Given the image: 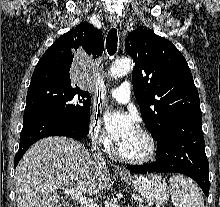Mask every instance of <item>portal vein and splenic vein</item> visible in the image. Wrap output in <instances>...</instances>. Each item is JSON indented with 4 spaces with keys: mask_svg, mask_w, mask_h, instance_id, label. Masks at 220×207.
<instances>
[{
    "mask_svg": "<svg viewBox=\"0 0 220 207\" xmlns=\"http://www.w3.org/2000/svg\"><path fill=\"white\" fill-rule=\"evenodd\" d=\"M63 192L70 196L71 198L79 201L86 207H99L97 203H95L92 199L88 198L87 196L83 195L80 192H77L74 188H62Z\"/></svg>",
    "mask_w": 220,
    "mask_h": 207,
    "instance_id": "18ae733b",
    "label": "portal vein and splenic vein"
}]
</instances>
